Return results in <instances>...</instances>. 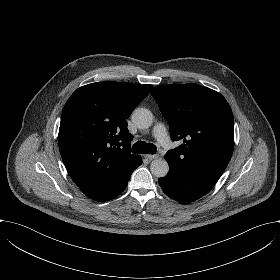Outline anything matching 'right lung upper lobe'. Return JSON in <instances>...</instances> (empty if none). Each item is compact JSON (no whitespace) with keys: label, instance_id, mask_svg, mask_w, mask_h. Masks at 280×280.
<instances>
[{"label":"right lung upper lobe","instance_id":"1","mask_svg":"<svg viewBox=\"0 0 280 280\" xmlns=\"http://www.w3.org/2000/svg\"><path fill=\"white\" fill-rule=\"evenodd\" d=\"M152 85L97 82L78 88L66 102L59 150L71 179L89 198L104 202L142 163L130 153L126 119Z\"/></svg>","mask_w":280,"mask_h":280}]
</instances>
